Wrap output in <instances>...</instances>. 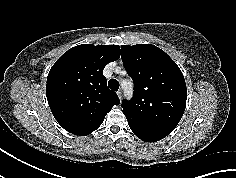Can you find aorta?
<instances>
[{"label":"aorta","instance_id":"obj_1","mask_svg":"<svg viewBox=\"0 0 236 178\" xmlns=\"http://www.w3.org/2000/svg\"><path fill=\"white\" fill-rule=\"evenodd\" d=\"M129 84V82H128ZM127 95H131L132 94V88H131V83H130V87L128 89H126Z\"/></svg>","mask_w":236,"mask_h":178}]
</instances>
